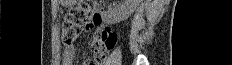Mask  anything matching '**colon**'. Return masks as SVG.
Here are the masks:
<instances>
[{
    "instance_id": "obj_1",
    "label": "colon",
    "mask_w": 232,
    "mask_h": 65,
    "mask_svg": "<svg viewBox=\"0 0 232 65\" xmlns=\"http://www.w3.org/2000/svg\"><path fill=\"white\" fill-rule=\"evenodd\" d=\"M97 5L98 1L95 0H79L70 9L62 28V41L65 45L68 46L77 40L82 27ZM116 42L117 36L112 32L105 38L95 37L93 43L94 59L92 62H104L107 52L114 48Z\"/></svg>"
}]
</instances>
